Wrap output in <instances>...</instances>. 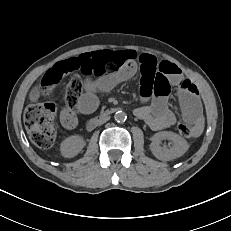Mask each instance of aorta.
Segmentation results:
<instances>
[{"label":"aorta","mask_w":231,"mask_h":231,"mask_svg":"<svg viewBox=\"0 0 231 231\" xmlns=\"http://www.w3.org/2000/svg\"><path fill=\"white\" fill-rule=\"evenodd\" d=\"M127 116L125 112L123 111H117L114 115V119L117 122H124L126 120Z\"/></svg>","instance_id":"762f6f07"}]
</instances>
